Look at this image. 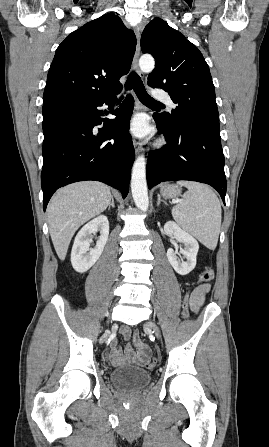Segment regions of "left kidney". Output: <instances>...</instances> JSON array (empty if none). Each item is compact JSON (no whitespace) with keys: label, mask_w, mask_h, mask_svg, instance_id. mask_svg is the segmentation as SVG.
<instances>
[{"label":"left kidney","mask_w":269,"mask_h":447,"mask_svg":"<svg viewBox=\"0 0 269 447\" xmlns=\"http://www.w3.org/2000/svg\"><path fill=\"white\" fill-rule=\"evenodd\" d=\"M164 231L167 235H171V237H175L177 241H181L184 245V249H180V253L185 255L186 261H180L178 255H176V251L169 247L167 249V257L168 261H170L172 267H174L177 273L180 275H186L189 271H192L196 265V255L199 249V243L195 237H192L190 233H186L183 231L179 225L175 224V222H166L164 225Z\"/></svg>","instance_id":"5707ae66"}]
</instances>
